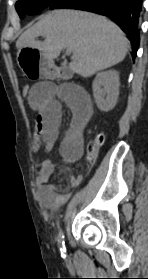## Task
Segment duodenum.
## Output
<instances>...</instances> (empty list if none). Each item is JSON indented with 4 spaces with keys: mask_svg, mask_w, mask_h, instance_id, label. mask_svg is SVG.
Here are the masks:
<instances>
[{
    "mask_svg": "<svg viewBox=\"0 0 148 279\" xmlns=\"http://www.w3.org/2000/svg\"><path fill=\"white\" fill-rule=\"evenodd\" d=\"M57 75L61 79H70L74 76V73L68 67H59L57 69Z\"/></svg>",
    "mask_w": 148,
    "mask_h": 279,
    "instance_id": "410a0bca",
    "label": "duodenum"
}]
</instances>
